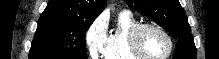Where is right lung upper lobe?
<instances>
[{
    "label": "right lung upper lobe",
    "instance_id": "right-lung-upper-lobe-1",
    "mask_svg": "<svg viewBox=\"0 0 219 59\" xmlns=\"http://www.w3.org/2000/svg\"><path fill=\"white\" fill-rule=\"evenodd\" d=\"M105 5L106 0H49L40 18L94 21Z\"/></svg>",
    "mask_w": 219,
    "mask_h": 59
}]
</instances>
